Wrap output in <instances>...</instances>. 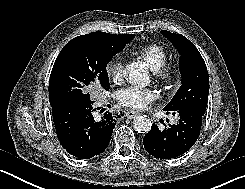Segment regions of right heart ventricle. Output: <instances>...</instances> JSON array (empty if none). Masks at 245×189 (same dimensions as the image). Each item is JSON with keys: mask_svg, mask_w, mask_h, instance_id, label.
<instances>
[{"mask_svg": "<svg viewBox=\"0 0 245 189\" xmlns=\"http://www.w3.org/2000/svg\"><path fill=\"white\" fill-rule=\"evenodd\" d=\"M135 53L140 56L153 71L158 70L167 62L166 51L157 44L139 46L135 50Z\"/></svg>", "mask_w": 245, "mask_h": 189, "instance_id": "e07e8e85", "label": "right heart ventricle"}]
</instances>
